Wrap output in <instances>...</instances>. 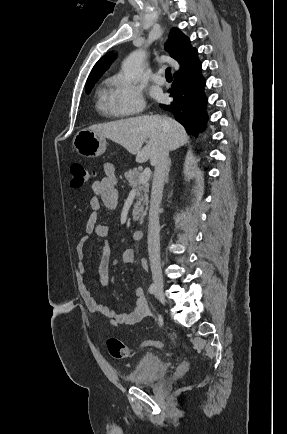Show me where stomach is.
<instances>
[{
	"mask_svg": "<svg viewBox=\"0 0 287 434\" xmlns=\"http://www.w3.org/2000/svg\"><path fill=\"white\" fill-rule=\"evenodd\" d=\"M73 146L79 155L94 158L106 150V139L86 128L79 130L73 139Z\"/></svg>",
	"mask_w": 287,
	"mask_h": 434,
	"instance_id": "stomach-1",
	"label": "stomach"
}]
</instances>
